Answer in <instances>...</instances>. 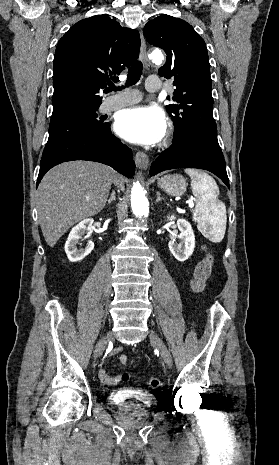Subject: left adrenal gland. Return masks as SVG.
I'll use <instances>...</instances> for the list:
<instances>
[{
  "label": "left adrenal gland",
  "instance_id": "obj_1",
  "mask_svg": "<svg viewBox=\"0 0 279 465\" xmlns=\"http://www.w3.org/2000/svg\"><path fill=\"white\" fill-rule=\"evenodd\" d=\"M161 200H164V198H163V197H161V194H160V192H157V199H156V204H157L158 202H160Z\"/></svg>",
  "mask_w": 279,
  "mask_h": 465
}]
</instances>
